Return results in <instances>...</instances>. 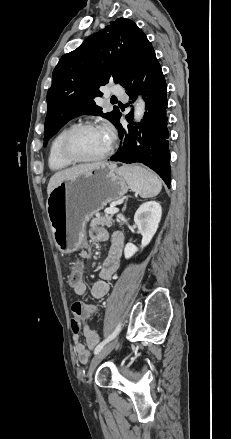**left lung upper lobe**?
I'll use <instances>...</instances> for the list:
<instances>
[{"instance_id": "5c2ea615", "label": "left lung upper lobe", "mask_w": 231, "mask_h": 439, "mask_svg": "<svg viewBox=\"0 0 231 439\" xmlns=\"http://www.w3.org/2000/svg\"><path fill=\"white\" fill-rule=\"evenodd\" d=\"M150 46L133 21L119 18L63 55L47 93L44 146L69 120L82 114L102 116L115 125L119 110L103 113L93 99L102 96L99 87L109 81L123 86Z\"/></svg>"}]
</instances>
